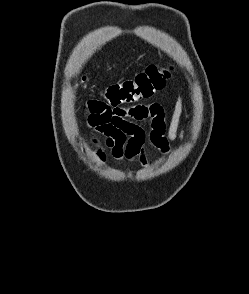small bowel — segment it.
Instances as JSON below:
<instances>
[{"label":"small bowel","instance_id":"1","mask_svg":"<svg viewBox=\"0 0 249 294\" xmlns=\"http://www.w3.org/2000/svg\"><path fill=\"white\" fill-rule=\"evenodd\" d=\"M183 107L184 98L179 95L167 124L164 108L157 102L118 106L89 102L88 122L96 133L104 137L105 147L118 163L139 160L145 167L148 161L146 146L165 155L174 144L185 139V129L180 127ZM145 123L150 127L148 133ZM91 145L96 160L104 161L105 153L100 140L91 138Z\"/></svg>","mask_w":249,"mask_h":294}]
</instances>
